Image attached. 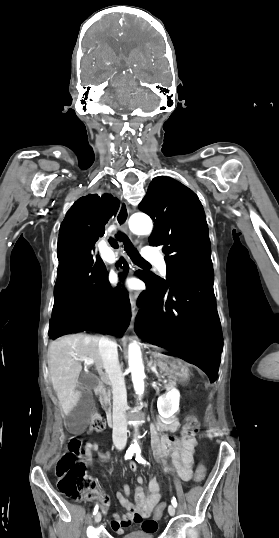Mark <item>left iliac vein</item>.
Instances as JSON below:
<instances>
[{
	"instance_id": "obj_1",
	"label": "left iliac vein",
	"mask_w": 279,
	"mask_h": 538,
	"mask_svg": "<svg viewBox=\"0 0 279 538\" xmlns=\"http://www.w3.org/2000/svg\"><path fill=\"white\" fill-rule=\"evenodd\" d=\"M168 512L171 516H174L176 512L175 507L173 505H169Z\"/></svg>"
}]
</instances>
